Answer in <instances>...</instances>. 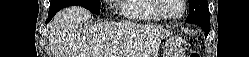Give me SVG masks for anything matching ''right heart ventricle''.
Listing matches in <instances>:
<instances>
[{
  "mask_svg": "<svg viewBox=\"0 0 249 57\" xmlns=\"http://www.w3.org/2000/svg\"><path fill=\"white\" fill-rule=\"evenodd\" d=\"M119 12L128 19L135 21H159L162 16L155 9L156 0H123Z\"/></svg>",
  "mask_w": 249,
  "mask_h": 57,
  "instance_id": "obj_1",
  "label": "right heart ventricle"
}]
</instances>
